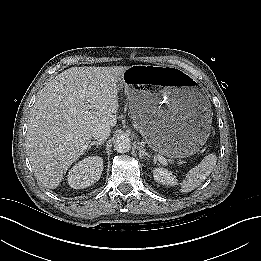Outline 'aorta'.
I'll return each mask as SVG.
<instances>
[{
    "instance_id": "1",
    "label": "aorta",
    "mask_w": 261,
    "mask_h": 261,
    "mask_svg": "<svg viewBox=\"0 0 261 261\" xmlns=\"http://www.w3.org/2000/svg\"><path fill=\"white\" fill-rule=\"evenodd\" d=\"M114 149L118 153H127L131 149V141L128 137L120 136L114 142Z\"/></svg>"
}]
</instances>
